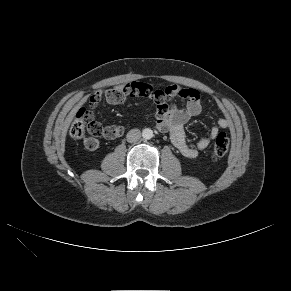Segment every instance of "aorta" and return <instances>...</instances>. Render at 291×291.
<instances>
[{
    "label": "aorta",
    "mask_w": 291,
    "mask_h": 291,
    "mask_svg": "<svg viewBox=\"0 0 291 291\" xmlns=\"http://www.w3.org/2000/svg\"><path fill=\"white\" fill-rule=\"evenodd\" d=\"M142 137L145 140L151 139L153 137V131L150 128L143 129V131H142Z\"/></svg>",
    "instance_id": "aorta-1"
}]
</instances>
